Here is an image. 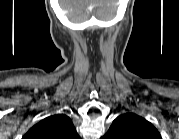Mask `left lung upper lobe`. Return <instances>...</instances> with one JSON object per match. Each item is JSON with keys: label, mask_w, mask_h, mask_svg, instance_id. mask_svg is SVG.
Here are the masks:
<instances>
[{"label": "left lung upper lobe", "mask_w": 179, "mask_h": 139, "mask_svg": "<svg viewBox=\"0 0 179 139\" xmlns=\"http://www.w3.org/2000/svg\"><path fill=\"white\" fill-rule=\"evenodd\" d=\"M104 139H161L157 129L146 119L133 113L117 117Z\"/></svg>", "instance_id": "1"}]
</instances>
